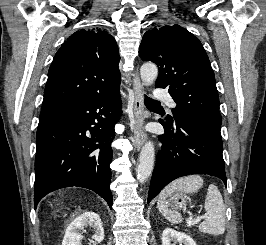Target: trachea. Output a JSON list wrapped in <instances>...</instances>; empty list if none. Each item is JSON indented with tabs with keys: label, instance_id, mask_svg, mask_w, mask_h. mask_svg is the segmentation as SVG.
<instances>
[{
	"label": "trachea",
	"instance_id": "3493384b",
	"mask_svg": "<svg viewBox=\"0 0 266 245\" xmlns=\"http://www.w3.org/2000/svg\"><path fill=\"white\" fill-rule=\"evenodd\" d=\"M144 102L145 105H156V104H160V102H158L157 100H153L152 98L146 97L144 98Z\"/></svg>",
	"mask_w": 266,
	"mask_h": 245
}]
</instances>
